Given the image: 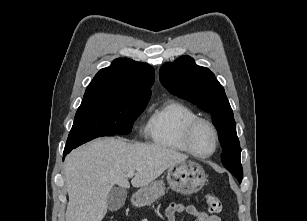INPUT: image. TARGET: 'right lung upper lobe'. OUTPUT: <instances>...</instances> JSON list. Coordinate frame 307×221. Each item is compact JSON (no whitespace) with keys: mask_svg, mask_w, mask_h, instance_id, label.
Instances as JSON below:
<instances>
[{"mask_svg":"<svg viewBox=\"0 0 307 221\" xmlns=\"http://www.w3.org/2000/svg\"><path fill=\"white\" fill-rule=\"evenodd\" d=\"M154 69L127 58L115 59L101 69L87 87L82 102L103 97L130 96L149 100L154 83Z\"/></svg>","mask_w":307,"mask_h":221,"instance_id":"1","label":"right lung upper lobe"}]
</instances>
